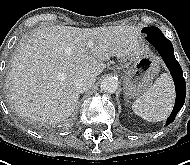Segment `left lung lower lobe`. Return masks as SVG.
<instances>
[{
  "label": "left lung lower lobe",
  "instance_id": "obj_1",
  "mask_svg": "<svg viewBox=\"0 0 190 165\" xmlns=\"http://www.w3.org/2000/svg\"><path fill=\"white\" fill-rule=\"evenodd\" d=\"M148 41L159 51L161 57L165 61V64L170 70L175 83L176 101L174 109L167 119L166 125H168L174 121L177 113L181 110L184 104L186 96V83L183 77L182 69L178 61L175 59L174 49L171 42L163 34L154 36Z\"/></svg>",
  "mask_w": 190,
  "mask_h": 165
}]
</instances>
